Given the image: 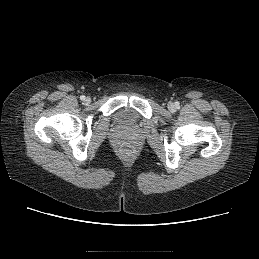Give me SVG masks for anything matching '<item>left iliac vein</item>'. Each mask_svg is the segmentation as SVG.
<instances>
[{
  "instance_id": "obj_1",
  "label": "left iliac vein",
  "mask_w": 259,
  "mask_h": 259,
  "mask_svg": "<svg viewBox=\"0 0 259 259\" xmlns=\"http://www.w3.org/2000/svg\"><path fill=\"white\" fill-rule=\"evenodd\" d=\"M168 108H169V110H174L175 109V106H174V104L173 103H170L169 105H168Z\"/></svg>"
}]
</instances>
